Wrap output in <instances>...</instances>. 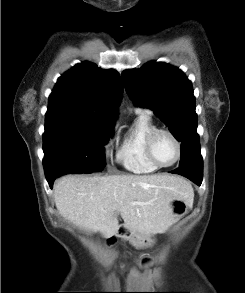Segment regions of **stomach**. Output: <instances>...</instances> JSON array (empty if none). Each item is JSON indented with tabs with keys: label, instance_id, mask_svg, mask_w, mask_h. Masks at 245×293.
<instances>
[{
	"label": "stomach",
	"instance_id": "1",
	"mask_svg": "<svg viewBox=\"0 0 245 293\" xmlns=\"http://www.w3.org/2000/svg\"><path fill=\"white\" fill-rule=\"evenodd\" d=\"M171 208L173 214L177 217L183 216L188 209V204L183 199H174L171 202ZM119 236L126 238L130 241V243L136 248H146L151 246L152 238L151 236H145L138 232H131L126 230H120Z\"/></svg>",
	"mask_w": 245,
	"mask_h": 293
}]
</instances>
